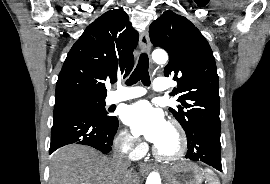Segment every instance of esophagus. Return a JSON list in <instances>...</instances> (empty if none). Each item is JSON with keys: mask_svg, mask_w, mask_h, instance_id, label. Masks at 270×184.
Returning <instances> with one entry per match:
<instances>
[{"mask_svg": "<svg viewBox=\"0 0 270 184\" xmlns=\"http://www.w3.org/2000/svg\"><path fill=\"white\" fill-rule=\"evenodd\" d=\"M139 47L143 52L149 53L150 52V40H149V33L148 30H144L141 34H140V38H139ZM140 169L142 171H148L151 169V165L150 164H146V163H141L140 164Z\"/></svg>", "mask_w": 270, "mask_h": 184, "instance_id": "1", "label": "esophagus"}]
</instances>
